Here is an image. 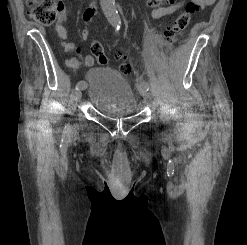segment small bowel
Listing matches in <instances>:
<instances>
[{
	"instance_id": "obj_1",
	"label": "small bowel",
	"mask_w": 247,
	"mask_h": 245,
	"mask_svg": "<svg viewBox=\"0 0 247 245\" xmlns=\"http://www.w3.org/2000/svg\"><path fill=\"white\" fill-rule=\"evenodd\" d=\"M184 1L185 0H146V3L148 6L152 7V17L154 19H160L178 11L182 7ZM196 2L200 5L201 8H204L212 5L215 0H196ZM70 10V7L65 8L64 6H60L59 19L54 27V31L65 51L69 52L72 50H76L77 52H79V49L75 48L74 44L68 41L67 30L64 26V22L70 14ZM96 12V6L94 4H91L83 13L84 22L86 24L91 23ZM81 36L82 39L86 40L89 36V29H83L81 32ZM66 64L68 67L74 69L79 68L81 65L89 67L94 64V56L86 55L81 59L70 58L66 61Z\"/></svg>"
}]
</instances>
